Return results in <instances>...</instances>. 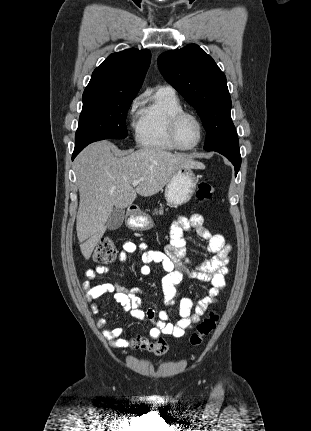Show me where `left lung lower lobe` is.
<instances>
[{"instance_id":"obj_1","label":"left lung lower lobe","mask_w":311,"mask_h":431,"mask_svg":"<svg viewBox=\"0 0 311 431\" xmlns=\"http://www.w3.org/2000/svg\"><path fill=\"white\" fill-rule=\"evenodd\" d=\"M214 151L224 155L234 165L235 175H237V173L240 169V166H241V155H240L239 147L238 148H221V149H216Z\"/></svg>"}]
</instances>
